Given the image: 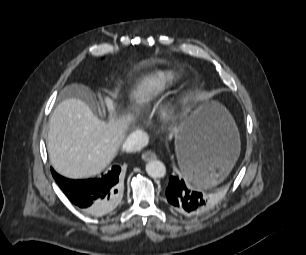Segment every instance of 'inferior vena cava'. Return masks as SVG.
<instances>
[{"label":"inferior vena cava","instance_id":"inferior-vena-cava-1","mask_svg":"<svg viewBox=\"0 0 306 255\" xmlns=\"http://www.w3.org/2000/svg\"><path fill=\"white\" fill-rule=\"evenodd\" d=\"M148 143V137L146 133L141 130L132 132L124 141L123 149L127 152L140 151Z\"/></svg>","mask_w":306,"mask_h":255}]
</instances>
